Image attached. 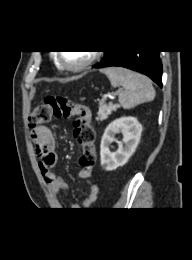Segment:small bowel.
Listing matches in <instances>:
<instances>
[{"label":"small bowel","mask_w":192,"mask_h":260,"mask_svg":"<svg viewBox=\"0 0 192 260\" xmlns=\"http://www.w3.org/2000/svg\"><path fill=\"white\" fill-rule=\"evenodd\" d=\"M31 139L39 157V169L43 179L57 205L61 207L62 204L59 199V194L63 190L68 191L69 185L53 172V168L58 162V151L55 138L49 128L40 126L32 130ZM92 170V167H83L78 175L82 179L89 178L92 175ZM98 193L99 187L96 184L91 185L88 194L82 200L83 208L91 207L97 200ZM70 208L76 210L79 208V205L77 203H72Z\"/></svg>","instance_id":"1"}]
</instances>
